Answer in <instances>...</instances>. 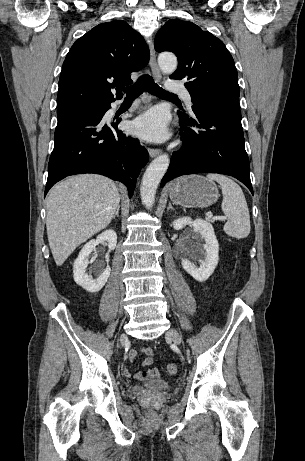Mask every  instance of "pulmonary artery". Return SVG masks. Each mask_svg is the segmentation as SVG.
<instances>
[{"mask_svg":"<svg viewBox=\"0 0 305 461\" xmlns=\"http://www.w3.org/2000/svg\"><path fill=\"white\" fill-rule=\"evenodd\" d=\"M168 90L172 91V92L179 93L182 96L185 103L187 104V106L188 107L192 106L191 95H190V93L188 92V90L184 86L178 85V84H169L168 85Z\"/></svg>","mask_w":305,"mask_h":461,"instance_id":"pulmonary-artery-1","label":"pulmonary artery"}]
</instances>
